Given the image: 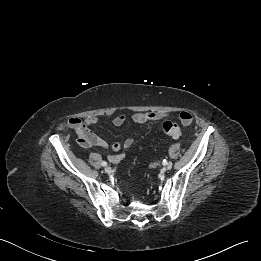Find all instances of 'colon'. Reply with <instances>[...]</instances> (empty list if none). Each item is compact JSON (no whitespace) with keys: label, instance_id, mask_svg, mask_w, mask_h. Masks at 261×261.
<instances>
[{"label":"colon","instance_id":"colon-1","mask_svg":"<svg viewBox=\"0 0 261 261\" xmlns=\"http://www.w3.org/2000/svg\"><path fill=\"white\" fill-rule=\"evenodd\" d=\"M162 131L165 135L172 138H179L182 135V129L180 125L173 121H165L162 124Z\"/></svg>","mask_w":261,"mask_h":261}]
</instances>
